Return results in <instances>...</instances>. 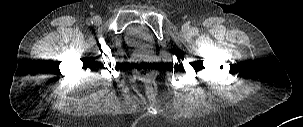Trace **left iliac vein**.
<instances>
[{"label":"left iliac vein","mask_w":303,"mask_h":127,"mask_svg":"<svg viewBox=\"0 0 303 127\" xmlns=\"http://www.w3.org/2000/svg\"><path fill=\"white\" fill-rule=\"evenodd\" d=\"M182 31L185 33V34H190L192 32L191 28L188 26V25H184L182 27Z\"/></svg>","instance_id":"left-iliac-vein-1"}]
</instances>
